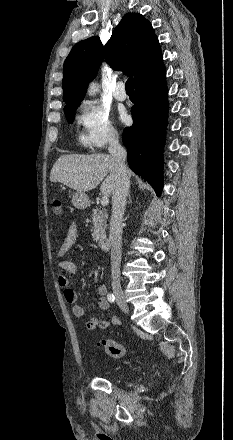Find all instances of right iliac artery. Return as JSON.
<instances>
[{
	"mask_svg": "<svg viewBox=\"0 0 233 440\" xmlns=\"http://www.w3.org/2000/svg\"><path fill=\"white\" fill-rule=\"evenodd\" d=\"M107 298L109 300L110 303H114L115 301V296L112 293H108Z\"/></svg>",
	"mask_w": 233,
	"mask_h": 440,
	"instance_id": "obj_1",
	"label": "right iliac artery"
}]
</instances>
